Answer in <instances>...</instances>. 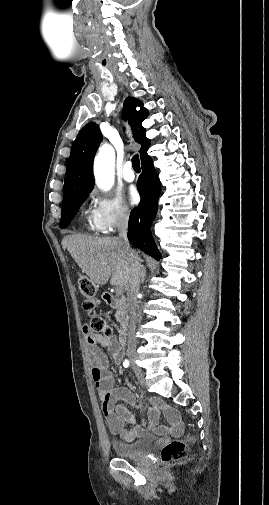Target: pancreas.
<instances>
[{"instance_id":"obj_1","label":"pancreas","mask_w":269,"mask_h":505,"mask_svg":"<svg viewBox=\"0 0 269 505\" xmlns=\"http://www.w3.org/2000/svg\"><path fill=\"white\" fill-rule=\"evenodd\" d=\"M115 318H116L117 322L122 323V321L124 319V312L122 309H118L116 311Z\"/></svg>"}]
</instances>
